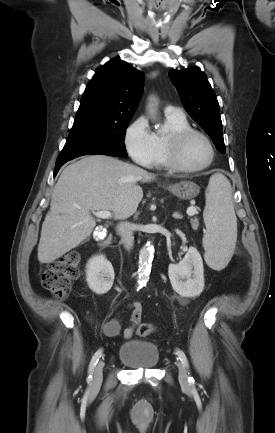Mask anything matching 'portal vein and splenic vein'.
Returning a JSON list of instances; mask_svg holds the SVG:
<instances>
[{"instance_id": "portal-vein-and-splenic-vein-1", "label": "portal vein and splenic vein", "mask_w": 275, "mask_h": 433, "mask_svg": "<svg viewBox=\"0 0 275 433\" xmlns=\"http://www.w3.org/2000/svg\"><path fill=\"white\" fill-rule=\"evenodd\" d=\"M196 213H197V210L194 206H191L187 209V215L188 216H193ZM93 214L97 218H101V219H110L112 217V214L110 211H97V212H93Z\"/></svg>"}]
</instances>
